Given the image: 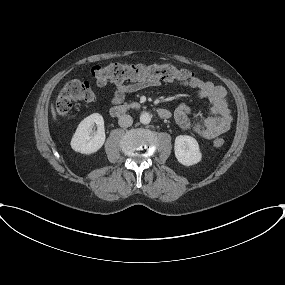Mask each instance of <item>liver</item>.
Returning a JSON list of instances; mask_svg holds the SVG:
<instances>
[{
    "instance_id": "1",
    "label": "liver",
    "mask_w": 285,
    "mask_h": 285,
    "mask_svg": "<svg viewBox=\"0 0 285 285\" xmlns=\"http://www.w3.org/2000/svg\"><path fill=\"white\" fill-rule=\"evenodd\" d=\"M51 112H52L53 120L56 121L57 120V116H56V112H55V109H54L53 105H51Z\"/></svg>"
}]
</instances>
